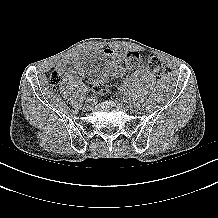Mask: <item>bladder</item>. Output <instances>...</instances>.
<instances>
[{
	"mask_svg": "<svg viewBox=\"0 0 218 218\" xmlns=\"http://www.w3.org/2000/svg\"><path fill=\"white\" fill-rule=\"evenodd\" d=\"M105 66L106 64L103 58H93L90 60L91 71L95 74L101 72Z\"/></svg>",
	"mask_w": 218,
	"mask_h": 218,
	"instance_id": "1",
	"label": "bladder"
}]
</instances>
